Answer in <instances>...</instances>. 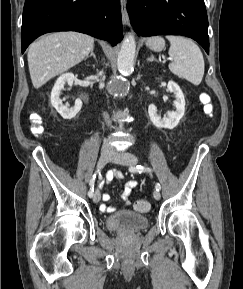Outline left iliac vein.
<instances>
[{
  "mask_svg": "<svg viewBox=\"0 0 243 289\" xmlns=\"http://www.w3.org/2000/svg\"><path fill=\"white\" fill-rule=\"evenodd\" d=\"M112 161L117 164L128 165L129 167H135L137 163V157L131 153H114L112 156ZM153 197L156 200L161 198L159 191L155 190L153 192Z\"/></svg>",
  "mask_w": 243,
  "mask_h": 289,
  "instance_id": "1",
  "label": "left iliac vein"
}]
</instances>
